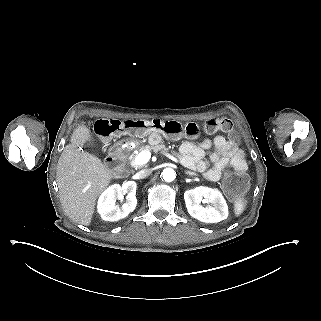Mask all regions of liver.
Segmentation results:
<instances>
[{
  "label": "liver",
  "mask_w": 321,
  "mask_h": 321,
  "mask_svg": "<svg viewBox=\"0 0 321 321\" xmlns=\"http://www.w3.org/2000/svg\"><path fill=\"white\" fill-rule=\"evenodd\" d=\"M93 145L91 130L79 125L71 135L57 164V184L61 204L69 218L90 226L98 197L109 187L114 173L101 159L81 149Z\"/></svg>",
  "instance_id": "6515ba94"
}]
</instances>
